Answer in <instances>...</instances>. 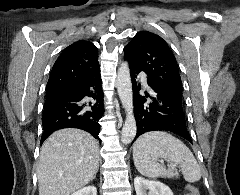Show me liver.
<instances>
[{
	"mask_svg": "<svg viewBox=\"0 0 240 195\" xmlns=\"http://www.w3.org/2000/svg\"><path fill=\"white\" fill-rule=\"evenodd\" d=\"M98 141L82 129L66 127L44 141L37 167L39 195H70L97 173Z\"/></svg>",
	"mask_w": 240,
	"mask_h": 195,
	"instance_id": "obj_1",
	"label": "liver"
}]
</instances>
